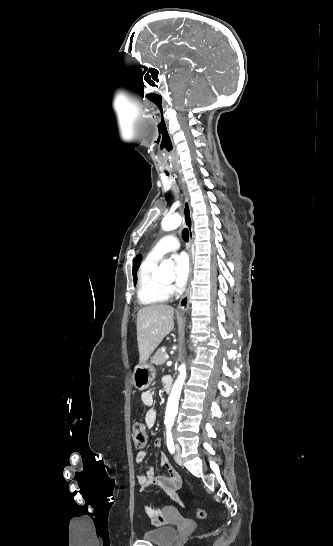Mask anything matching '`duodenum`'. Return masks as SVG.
<instances>
[{"mask_svg": "<svg viewBox=\"0 0 333 546\" xmlns=\"http://www.w3.org/2000/svg\"><path fill=\"white\" fill-rule=\"evenodd\" d=\"M164 386L167 391H171L173 386V379L171 377H166L164 379Z\"/></svg>", "mask_w": 333, "mask_h": 546, "instance_id": "410a0bca", "label": "duodenum"}]
</instances>
